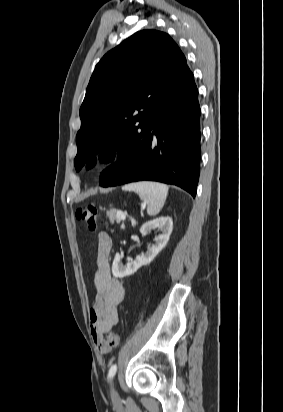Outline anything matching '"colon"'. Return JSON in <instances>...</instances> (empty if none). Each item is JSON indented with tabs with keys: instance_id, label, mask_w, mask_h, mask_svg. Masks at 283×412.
I'll use <instances>...</instances> for the list:
<instances>
[{
	"instance_id": "1",
	"label": "colon",
	"mask_w": 283,
	"mask_h": 412,
	"mask_svg": "<svg viewBox=\"0 0 283 412\" xmlns=\"http://www.w3.org/2000/svg\"><path fill=\"white\" fill-rule=\"evenodd\" d=\"M76 219L85 224L90 232H94L98 224V210L93 205L81 206L76 210ZM120 342L119 335L108 332L103 336L101 346L103 349L116 348Z\"/></svg>"
}]
</instances>
